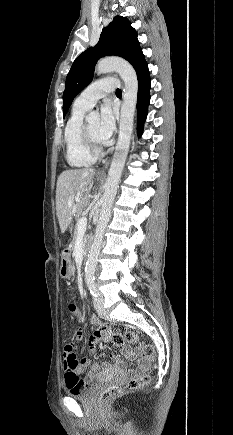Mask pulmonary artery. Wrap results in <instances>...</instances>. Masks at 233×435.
<instances>
[{
    "label": "pulmonary artery",
    "instance_id": "e3ab8cb5",
    "mask_svg": "<svg viewBox=\"0 0 233 435\" xmlns=\"http://www.w3.org/2000/svg\"><path fill=\"white\" fill-rule=\"evenodd\" d=\"M118 80L114 78H102L90 86H88L80 95L75 99V105L84 109L92 108L95 103L110 92L117 90Z\"/></svg>",
    "mask_w": 233,
    "mask_h": 435
}]
</instances>
